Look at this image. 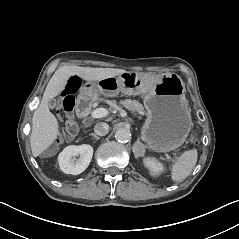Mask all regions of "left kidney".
I'll list each match as a JSON object with an SVG mask.
<instances>
[{"mask_svg":"<svg viewBox=\"0 0 239 239\" xmlns=\"http://www.w3.org/2000/svg\"><path fill=\"white\" fill-rule=\"evenodd\" d=\"M143 164L149 169L150 174L154 177L159 176L163 170V166L155 158L146 157L143 159Z\"/></svg>","mask_w":239,"mask_h":239,"instance_id":"1","label":"left kidney"}]
</instances>
